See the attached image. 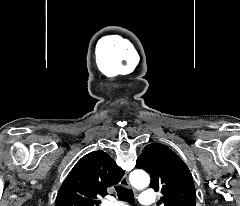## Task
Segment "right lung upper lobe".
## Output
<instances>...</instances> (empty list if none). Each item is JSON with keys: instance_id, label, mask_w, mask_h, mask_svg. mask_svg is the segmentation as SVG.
I'll return each mask as SVG.
<instances>
[{"instance_id": "obj_1", "label": "right lung upper lobe", "mask_w": 240, "mask_h": 206, "mask_svg": "<svg viewBox=\"0 0 240 206\" xmlns=\"http://www.w3.org/2000/svg\"><path fill=\"white\" fill-rule=\"evenodd\" d=\"M124 171L103 151L83 156L70 171L56 198L55 206H98L107 188L119 183Z\"/></svg>"}]
</instances>
